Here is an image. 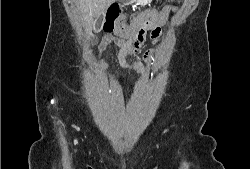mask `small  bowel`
<instances>
[{
	"instance_id": "small-bowel-1",
	"label": "small bowel",
	"mask_w": 250,
	"mask_h": 169,
	"mask_svg": "<svg viewBox=\"0 0 250 169\" xmlns=\"http://www.w3.org/2000/svg\"><path fill=\"white\" fill-rule=\"evenodd\" d=\"M138 24H139V21L137 18L131 23V25L129 27L126 28L125 31L118 33L116 36H113V35L105 36L102 39L101 48L102 49L108 48L111 46V44L113 42H115L116 44H118L120 46V51L118 54V61H119L120 65L122 67H125V68L134 67L137 70H141V68H142L141 63H136L135 65H131L126 60L127 55H129L131 53H136L140 49V47L142 46V45H140V46L135 45L133 43V38H132L135 31H136ZM159 30H160V27H159ZM144 59L148 64H152L154 61V52L153 51L147 52L144 55ZM101 64L103 66H105L106 62L102 60Z\"/></svg>"
}]
</instances>
